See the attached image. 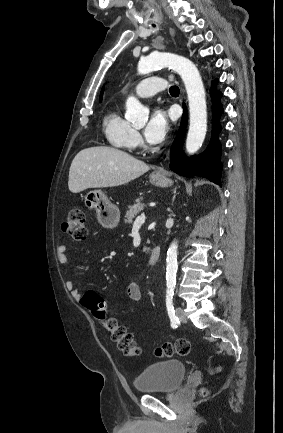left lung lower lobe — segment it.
<instances>
[{
	"mask_svg": "<svg viewBox=\"0 0 283 433\" xmlns=\"http://www.w3.org/2000/svg\"><path fill=\"white\" fill-rule=\"evenodd\" d=\"M218 79L212 82L216 87ZM221 93H211L213 101L212 106V135L209 145L206 150L194 157L187 158L182 153L183 139L187 125L186 106L181 121L179 132L171 146L170 150V169L177 174L185 177H206L210 181L221 186V176L223 165L221 163V143L218 140V135L222 130L219 123L220 117L224 112L223 106L220 103Z\"/></svg>",
	"mask_w": 283,
	"mask_h": 433,
	"instance_id": "1",
	"label": "left lung lower lobe"
}]
</instances>
